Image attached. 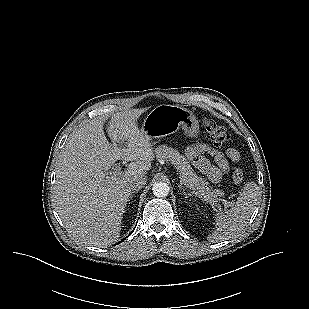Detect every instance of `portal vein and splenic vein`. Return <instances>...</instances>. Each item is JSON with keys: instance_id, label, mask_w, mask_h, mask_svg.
Returning a JSON list of instances; mask_svg holds the SVG:
<instances>
[{"instance_id": "portal-vein-and-splenic-vein-1", "label": "portal vein and splenic vein", "mask_w": 309, "mask_h": 309, "mask_svg": "<svg viewBox=\"0 0 309 309\" xmlns=\"http://www.w3.org/2000/svg\"><path fill=\"white\" fill-rule=\"evenodd\" d=\"M121 172L122 171H121V167L120 166H116L115 168H113V174H120ZM179 179H180L181 184L183 183V184L186 185V182H185V180L183 179L182 176H180Z\"/></svg>"}]
</instances>
